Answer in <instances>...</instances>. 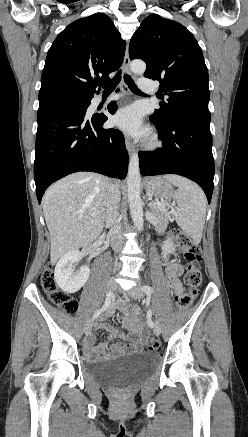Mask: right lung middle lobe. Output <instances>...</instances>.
Returning a JSON list of instances; mask_svg holds the SVG:
<instances>
[{
    "instance_id": "right-lung-middle-lobe-1",
    "label": "right lung middle lobe",
    "mask_w": 248,
    "mask_h": 437,
    "mask_svg": "<svg viewBox=\"0 0 248 437\" xmlns=\"http://www.w3.org/2000/svg\"><path fill=\"white\" fill-rule=\"evenodd\" d=\"M90 97L79 96L62 91H51L39 95V103H44L48 101H64L76 104L78 106L86 107L90 103Z\"/></svg>"
}]
</instances>
